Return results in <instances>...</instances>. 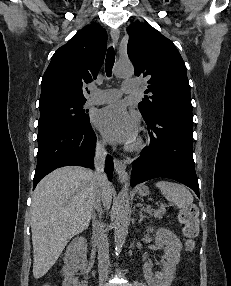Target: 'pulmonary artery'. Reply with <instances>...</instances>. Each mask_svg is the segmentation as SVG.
Returning <instances> with one entry per match:
<instances>
[{"label": "pulmonary artery", "instance_id": "pulmonary-artery-1", "mask_svg": "<svg viewBox=\"0 0 231 286\" xmlns=\"http://www.w3.org/2000/svg\"><path fill=\"white\" fill-rule=\"evenodd\" d=\"M140 84L135 79L125 80L122 85V89H98L92 88V95L88 99V105H101L116 101L123 93L135 94L139 92Z\"/></svg>", "mask_w": 231, "mask_h": 286}]
</instances>
